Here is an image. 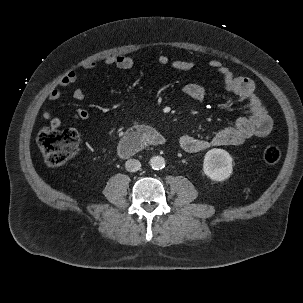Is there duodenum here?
Wrapping results in <instances>:
<instances>
[{
	"instance_id": "duodenum-1",
	"label": "duodenum",
	"mask_w": 303,
	"mask_h": 303,
	"mask_svg": "<svg viewBox=\"0 0 303 303\" xmlns=\"http://www.w3.org/2000/svg\"><path fill=\"white\" fill-rule=\"evenodd\" d=\"M164 137L153 128L140 126L130 130L120 141L118 152L123 157H130L148 145L161 146Z\"/></svg>"
}]
</instances>
